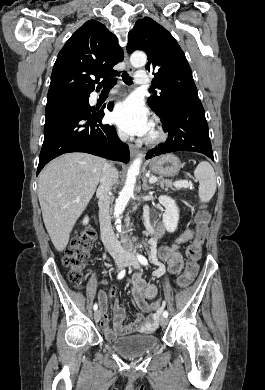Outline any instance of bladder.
<instances>
[{
	"label": "bladder",
	"mask_w": 265,
	"mask_h": 390,
	"mask_svg": "<svg viewBox=\"0 0 265 390\" xmlns=\"http://www.w3.org/2000/svg\"><path fill=\"white\" fill-rule=\"evenodd\" d=\"M108 342L114 351L125 358L144 356L158 345L155 335H117Z\"/></svg>",
	"instance_id": "1"
}]
</instances>
